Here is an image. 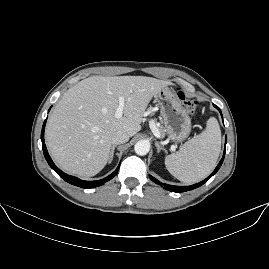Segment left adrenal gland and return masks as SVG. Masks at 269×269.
<instances>
[{
  "label": "left adrenal gland",
  "instance_id": "obj_1",
  "mask_svg": "<svg viewBox=\"0 0 269 269\" xmlns=\"http://www.w3.org/2000/svg\"><path fill=\"white\" fill-rule=\"evenodd\" d=\"M155 147H157V154H159L161 151L166 153V150L161 148L158 142H155Z\"/></svg>",
  "mask_w": 269,
  "mask_h": 269
}]
</instances>
